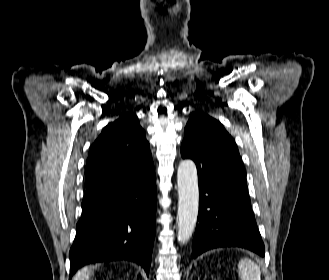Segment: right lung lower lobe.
Returning <instances> with one entry per match:
<instances>
[{
    "instance_id": "98d812e1",
    "label": "right lung lower lobe",
    "mask_w": 329,
    "mask_h": 280,
    "mask_svg": "<svg viewBox=\"0 0 329 280\" xmlns=\"http://www.w3.org/2000/svg\"><path fill=\"white\" fill-rule=\"evenodd\" d=\"M155 171L102 179L88 187L70 249V276L82 266L128 260L149 275L155 237Z\"/></svg>"
}]
</instances>
